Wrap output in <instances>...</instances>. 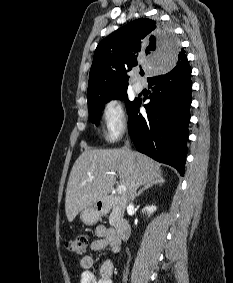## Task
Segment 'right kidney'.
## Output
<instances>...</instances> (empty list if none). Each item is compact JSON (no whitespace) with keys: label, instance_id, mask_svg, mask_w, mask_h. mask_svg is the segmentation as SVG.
<instances>
[{"label":"right kidney","instance_id":"ca27d5eb","mask_svg":"<svg viewBox=\"0 0 233 283\" xmlns=\"http://www.w3.org/2000/svg\"><path fill=\"white\" fill-rule=\"evenodd\" d=\"M155 210H156V207H155V206H147V207H145V208L142 210V212L147 211V213L151 214V213H153Z\"/></svg>","mask_w":233,"mask_h":283}]
</instances>
